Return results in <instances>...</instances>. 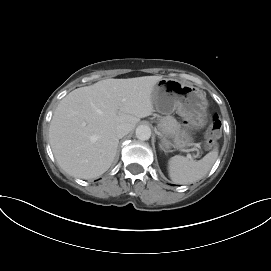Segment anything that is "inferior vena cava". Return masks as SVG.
Wrapping results in <instances>:
<instances>
[{
	"label": "inferior vena cava",
	"instance_id": "inferior-vena-cava-1",
	"mask_svg": "<svg viewBox=\"0 0 271 271\" xmlns=\"http://www.w3.org/2000/svg\"><path fill=\"white\" fill-rule=\"evenodd\" d=\"M131 131V126L129 124H121L116 129V136L122 138Z\"/></svg>",
	"mask_w": 271,
	"mask_h": 271
}]
</instances>
